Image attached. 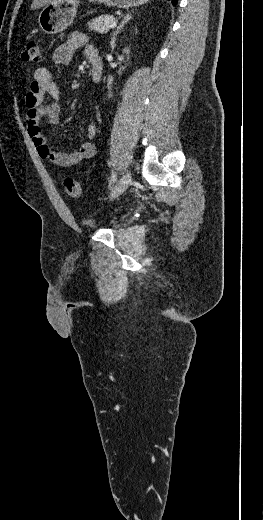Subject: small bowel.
I'll return each mask as SVG.
<instances>
[{
  "label": "small bowel",
  "mask_w": 263,
  "mask_h": 520,
  "mask_svg": "<svg viewBox=\"0 0 263 520\" xmlns=\"http://www.w3.org/2000/svg\"><path fill=\"white\" fill-rule=\"evenodd\" d=\"M84 42V37L73 34L67 42L59 45L53 53V62L57 65H66L72 60L75 51ZM92 51H96L91 45L86 46L87 57ZM46 96L56 100L59 96V88L52 78L51 72L44 67L37 68L34 72V79L25 97L27 107L26 127L29 136L37 150L38 155L51 163L63 167L71 168L92 158L95 155V146L92 142H84L77 151L56 152L51 149L47 138L41 131L42 122L46 121L49 125H56L60 119V110L57 103H46ZM97 133L95 124H89L86 134L89 139H93Z\"/></svg>",
  "instance_id": "obj_1"
}]
</instances>
